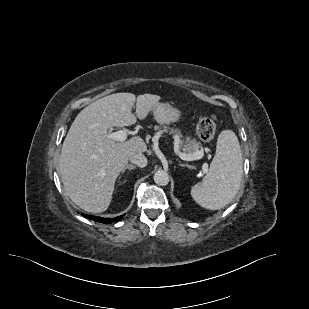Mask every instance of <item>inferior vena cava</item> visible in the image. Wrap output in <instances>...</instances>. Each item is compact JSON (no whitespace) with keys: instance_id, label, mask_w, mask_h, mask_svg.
<instances>
[{"instance_id":"602c4592","label":"inferior vena cava","mask_w":309,"mask_h":309,"mask_svg":"<svg viewBox=\"0 0 309 309\" xmlns=\"http://www.w3.org/2000/svg\"><path fill=\"white\" fill-rule=\"evenodd\" d=\"M129 159L130 162L139 167H145L147 165V158L142 153H135Z\"/></svg>"}]
</instances>
